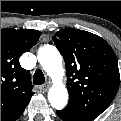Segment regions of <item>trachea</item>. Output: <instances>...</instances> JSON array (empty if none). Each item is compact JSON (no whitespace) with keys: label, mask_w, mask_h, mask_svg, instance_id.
<instances>
[{"label":"trachea","mask_w":121,"mask_h":121,"mask_svg":"<svg viewBox=\"0 0 121 121\" xmlns=\"http://www.w3.org/2000/svg\"><path fill=\"white\" fill-rule=\"evenodd\" d=\"M45 82L44 74L41 70H37L33 75V84L42 85Z\"/></svg>","instance_id":"obj_1"}]
</instances>
